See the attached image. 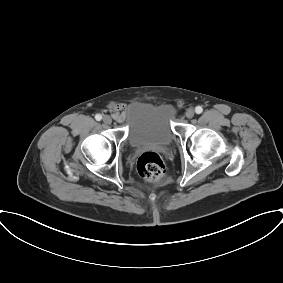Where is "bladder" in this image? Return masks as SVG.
<instances>
[{"label":"bladder","mask_w":283,"mask_h":283,"mask_svg":"<svg viewBox=\"0 0 283 283\" xmlns=\"http://www.w3.org/2000/svg\"><path fill=\"white\" fill-rule=\"evenodd\" d=\"M127 140L132 147L168 146L175 133L172 122L176 111L169 103H133L128 109Z\"/></svg>","instance_id":"obj_1"}]
</instances>
